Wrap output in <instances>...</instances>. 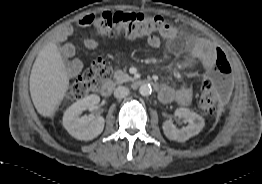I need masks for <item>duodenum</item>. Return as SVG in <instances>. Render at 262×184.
<instances>
[{
    "label": "duodenum",
    "instance_id": "1",
    "mask_svg": "<svg viewBox=\"0 0 262 184\" xmlns=\"http://www.w3.org/2000/svg\"><path fill=\"white\" fill-rule=\"evenodd\" d=\"M132 86L134 88H139L141 86H152L154 88H157L159 85L149 79H142V80H137L132 83ZM115 87V82L113 80L106 81L100 89L101 95L104 97H109L112 94V91Z\"/></svg>",
    "mask_w": 262,
    "mask_h": 184
}]
</instances>
